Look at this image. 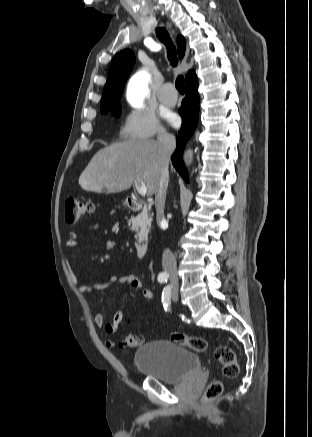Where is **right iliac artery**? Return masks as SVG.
Listing matches in <instances>:
<instances>
[{"label":"right iliac artery","instance_id":"1","mask_svg":"<svg viewBox=\"0 0 312 437\" xmlns=\"http://www.w3.org/2000/svg\"><path fill=\"white\" fill-rule=\"evenodd\" d=\"M158 282L159 283H165V282H167V280H168V274H166V273H161V274H159L158 275Z\"/></svg>","mask_w":312,"mask_h":437}]
</instances>
